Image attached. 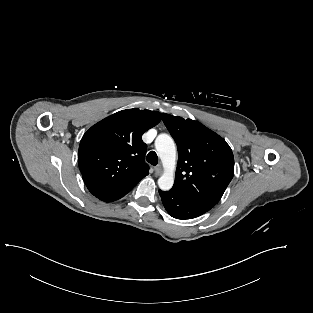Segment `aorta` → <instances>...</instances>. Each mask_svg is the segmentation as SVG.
<instances>
[{"label":"aorta","instance_id":"762f6f07","mask_svg":"<svg viewBox=\"0 0 313 313\" xmlns=\"http://www.w3.org/2000/svg\"><path fill=\"white\" fill-rule=\"evenodd\" d=\"M155 147L164 167V172L158 179V186L168 191L174 184V171L176 165V147L174 140L167 134H160L155 141Z\"/></svg>","mask_w":313,"mask_h":313}]
</instances>
